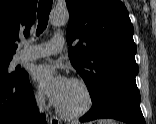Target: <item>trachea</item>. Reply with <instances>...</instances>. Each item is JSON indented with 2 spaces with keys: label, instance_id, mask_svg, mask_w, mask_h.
<instances>
[{
  "label": "trachea",
  "instance_id": "1",
  "mask_svg": "<svg viewBox=\"0 0 156 124\" xmlns=\"http://www.w3.org/2000/svg\"><path fill=\"white\" fill-rule=\"evenodd\" d=\"M52 9V0H40L38 4V28L36 35L41 34L48 24L49 14Z\"/></svg>",
  "mask_w": 156,
  "mask_h": 124
}]
</instances>
